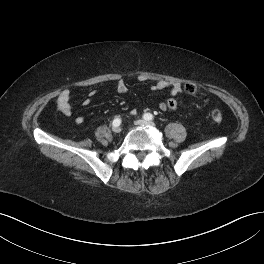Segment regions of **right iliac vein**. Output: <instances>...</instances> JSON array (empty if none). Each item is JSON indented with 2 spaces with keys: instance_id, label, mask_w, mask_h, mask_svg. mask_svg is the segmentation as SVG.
Segmentation results:
<instances>
[{
  "instance_id": "right-iliac-vein-1",
  "label": "right iliac vein",
  "mask_w": 264,
  "mask_h": 264,
  "mask_svg": "<svg viewBox=\"0 0 264 264\" xmlns=\"http://www.w3.org/2000/svg\"><path fill=\"white\" fill-rule=\"evenodd\" d=\"M113 131L115 132V133H120L121 132V128L120 127H113Z\"/></svg>"
}]
</instances>
